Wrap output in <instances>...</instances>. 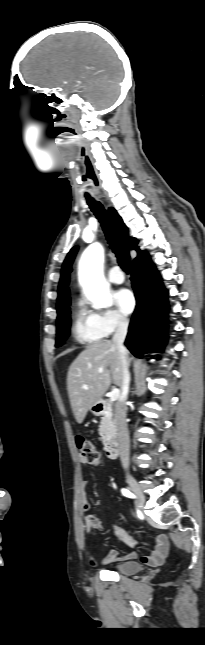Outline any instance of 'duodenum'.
Instances as JSON below:
<instances>
[{
	"mask_svg": "<svg viewBox=\"0 0 205 645\" xmlns=\"http://www.w3.org/2000/svg\"><path fill=\"white\" fill-rule=\"evenodd\" d=\"M106 410V405L104 403H98L96 406V411L98 413H103ZM105 452L108 458L115 459L119 454V444L116 439H110L105 444Z\"/></svg>",
	"mask_w": 205,
	"mask_h": 645,
	"instance_id": "duodenum-1",
	"label": "duodenum"
}]
</instances>
